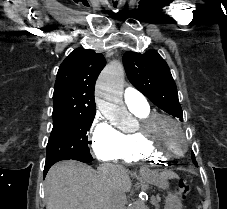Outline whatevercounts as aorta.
<instances>
[{
    "instance_id": "762f6f07",
    "label": "aorta",
    "mask_w": 227,
    "mask_h": 209,
    "mask_svg": "<svg viewBox=\"0 0 227 209\" xmlns=\"http://www.w3.org/2000/svg\"><path fill=\"white\" fill-rule=\"evenodd\" d=\"M123 85V66L113 61L104 68L96 83L97 105L108 119L127 114L122 102ZM130 209H147L143 192L139 194V198L130 206Z\"/></svg>"
}]
</instances>
